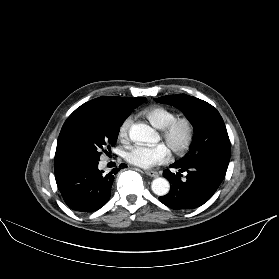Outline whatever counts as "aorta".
<instances>
[{"instance_id": "762f6f07", "label": "aorta", "mask_w": 279, "mask_h": 279, "mask_svg": "<svg viewBox=\"0 0 279 279\" xmlns=\"http://www.w3.org/2000/svg\"><path fill=\"white\" fill-rule=\"evenodd\" d=\"M129 137L137 143L151 144L156 141L157 135L155 130L146 124H134L129 130ZM152 191L158 196H164L169 192L170 184L167 179L155 178L151 184Z\"/></svg>"}]
</instances>
